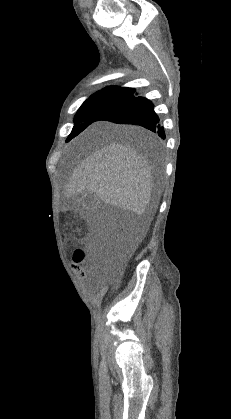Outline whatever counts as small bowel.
<instances>
[{"mask_svg":"<svg viewBox=\"0 0 231 419\" xmlns=\"http://www.w3.org/2000/svg\"><path fill=\"white\" fill-rule=\"evenodd\" d=\"M79 274L82 280H85L87 278V272L85 270H81Z\"/></svg>","mask_w":231,"mask_h":419,"instance_id":"small-bowel-1","label":"small bowel"}]
</instances>
